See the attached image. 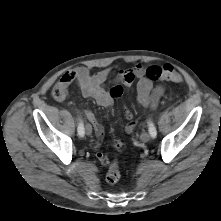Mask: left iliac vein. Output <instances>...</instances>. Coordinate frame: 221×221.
I'll use <instances>...</instances> for the list:
<instances>
[{"mask_svg":"<svg viewBox=\"0 0 221 221\" xmlns=\"http://www.w3.org/2000/svg\"><path fill=\"white\" fill-rule=\"evenodd\" d=\"M140 139L142 142H148L151 139V135L147 132L141 134Z\"/></svg>","mask_w":221,"mask_h":221,"instance_id":"1","label":"left iliac vein"}]
</instances>
